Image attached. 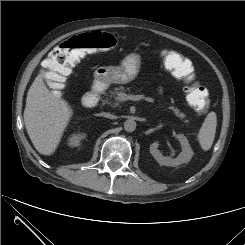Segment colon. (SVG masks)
I'll return each mask as SVG.
<instances>
[{
  "instance_id": "1",
  "label": "colon",
  "mask_w": 245,
  "mask_h": 245,
  "mask_svg": "<svg viewBox=\"0 0 245 245\" xmlns=\"http://www.w3.org/2000/svg\"><path fill=\"white\" fill-rule=\"evenodd\" d=\"M116 34L94 31L69 38L56 46L44 61L42 76L55 91H60L71 73L72 67L85 55L97 51H107L117 46ZM166 67L173 75L186 83L191 75L185 65V58L176 52H170L164 58ZM186 98L190 106L199 114L205 115L210 109L209 93L201 84H191L186 88Z\"/></svg>"
}]
</instances>
